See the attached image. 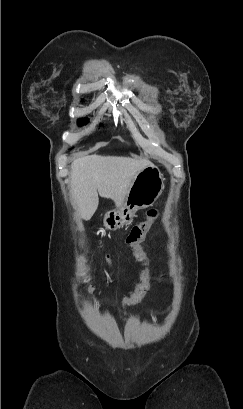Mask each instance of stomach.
Listing matches in <instances>:
<instances>
[{"label":"stomach","instance_id":"obj_1","mask_svg":"<svg viewBox=\"0 0 243 409\" xmlns=\"http://www.w3.org/2000/svg\"><path fill=\"white\" fill-rule=\"evenodd\" d=\"M163 188V177L159 168L152 164L145 167L133 179L124 204L105 214V228L112 231L129 224L139 209L152 206L156 202Z\"/></svg>","mask_w":243,"mask_h":409}]
</instances>
